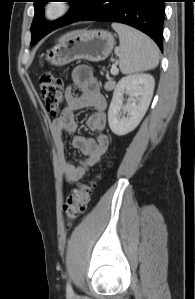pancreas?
I'll return each mask as SVG.
<instances>
[{"label": "pancreas", "mask_w": 195, "mask_h": 299, "mask_svg": "<svg viewBox=\"0 0 195 299\" xmlns=\"http://www.w3.org/2000/svg\"><path fill=\"white\" fill-rule=\"evenodd\" d=\"M114 87H115L114 81H108L104 86L105 90H107V91L114 89Z\"/></svg>", "instance_id": "obj_1"}]
</instances>
